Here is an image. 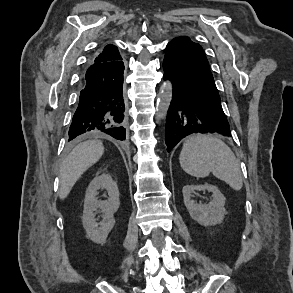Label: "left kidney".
I'll return each instance as SVG.
<instances>
[{
	"instance_id": "5707ae66",
	"label": "left kidney",
	"mask_w": 293,
	"mask_h": 293,
	"mask_svg": "<svg viewBox=\"0 0 293 293\" xmlns=\"http://www.w3.org/2000/svg\"><path fill=\"white\" fill-rule=\"evenodd\" d=\"M212 192L213 200L208 204L197 203L191 199L196 191ZM184 204L192 219L203 226H213L223 221L227 214L224 205L225 197L220 190L211 184L185 185L182 189Z\"/></svg>"
}]
</instances>
